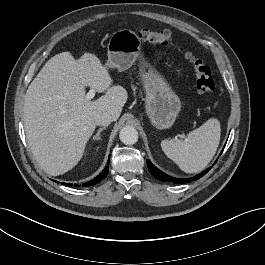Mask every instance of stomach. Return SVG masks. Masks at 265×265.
Here are the masks:
<instances>
[{
	"mask_svg": "<svg viewBox=\"0 0 265 265\" xmlns=\"http://www.w3.org/2000/svg\"><path fill=\"white\" fill-rule=\"evenodd\" d=\"M106 67L119 71L129 69L140 57L142 45L139 36L132 30L114 32L107 45ZM140 77L145 90V111L154 127L159 130L170 128L180 110L181 101L167 80L155 69L143 62Z\"/></svg>",
	"mask_w": 265,
	"mask_h": 265,
	"instance_id": "obj_1",
	"label": "stomach"
}]
</instances>
